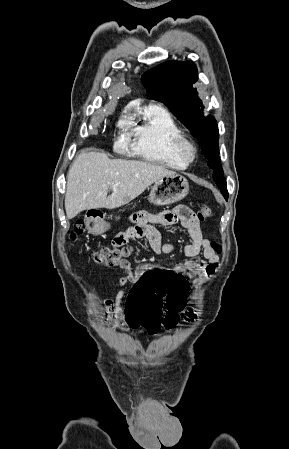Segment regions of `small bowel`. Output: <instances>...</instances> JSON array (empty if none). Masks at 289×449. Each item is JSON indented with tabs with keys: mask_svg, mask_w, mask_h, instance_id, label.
Listing matches in <instances>:
<instances>
[{
	"mask_svg": "<svg viewBox=\"0 0 289 449\" xmlns=\"http://www.w3.org/2000/svg\"><path fill=\"white\" fill-rule=\"evenodd\" d=\"M132 222L131 227L115 234L112 245L123 247L130 239L145 238L155 253L172 254L176 246L170 242H162L161 235L154 225L167 226L180 222L189 235V242L183 249L187 259L174 265L173 270L179 271L182 277L190 279L196 286L202 285L208 276L216 270L219 262L218 254L212 248L211 242L203 238L198 219L186 206H178L161 213L140 211L133 215ZM200 254H202V257H200ZM117 267L123 270L125 274L117 280L119 291L116 297L105 300L104 321H109L116 329L125 331L131 327L121 306V301L126 295V287L132 285L133 289V283L139 279L142 271H145L146 268L156 267L153 264L144 263L133 270L127 259H123ZM157 270L160 269L157 268ZM195 316L193 309H187V320H193Z\"/></svg>",
	"mask_w": 289,
	"mask_h": 449,
	"instance_id": "c3829d8e",
	"label": "small bowel"
}]
</instances>
